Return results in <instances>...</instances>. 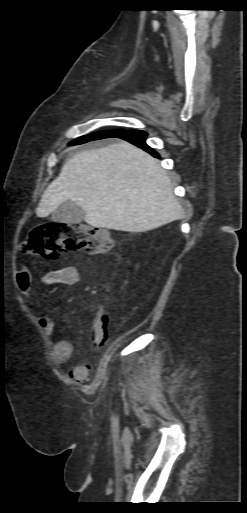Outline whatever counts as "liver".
<instances>
[{"label": "liver", "instance_id": "6515ba94", "mask_svg": "<svg viewBox=\"0 0 247 513\" xmlns=\"http://www.w3.org/2000/svg\"><path fill=\"white\" fill-rule=\"evenodd\" d=\"M69 200L84 210L87 224L133 233L161 227L183 215L159 161L126 141L67 160L44 191L36 214L47 217Z\"/></svg>", "mask_w": 247, "mask_h": 513}]
</instances>
